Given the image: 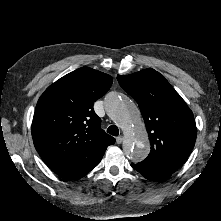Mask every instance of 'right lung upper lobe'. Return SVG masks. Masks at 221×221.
<instances>
[{
  "mask_svg": "<svg viewBox=\"0 0 221 221\" xmlns=\"http://www.w3.org/2000/svg\"><path fill=\"white\" fill-rule=\"evenodd\" d=\"M112 85L111 76L88 67L79 68L57 80L36 105L32 137L46 164L99 144L112 145L93 103Z\"/></svg>",
  "mask_w": 221,
  "mask_h": 221,
  "instance_id": "obj_1",
  "label": "right lung upper lobe"
}]
</instances>
